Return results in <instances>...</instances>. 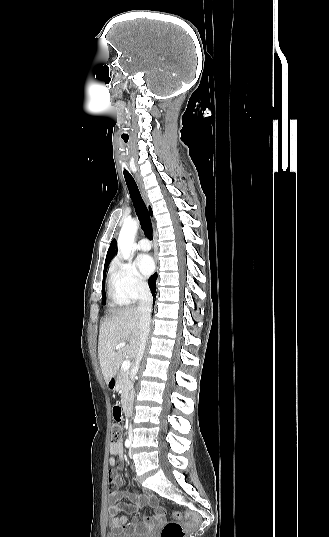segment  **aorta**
I'll use <instances>...</instances> for the list:
<instances>
[{
  "label": "aorta",
  "mask_w": 329,
  "mask_h": 537,
  "mask_svg": "<svg viewBox=\"0 0 329 537\" xmlns=\"http://www.w3.org/2000/svg\"><path fill=\"white\" fill-rule=\"evenodd\" d=\"M137 229L138 222L134 220L125 222L121 228L118 238V249L125 260L129 259L131 255Z\"/></svg>",
  "instance_id": "1"
}]
</instances>
